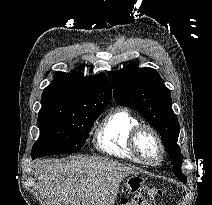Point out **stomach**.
Returning <instances> with one entry per match:
<instances>
[{"label":"stomach","instance_id":"stomach-1","mask_svg":"<svg viewBox=\"0 0 212 205\" xmlns=\"http://www.w3.org/2000/svg\"><path fill=\"white\" fill-rule=\"evenodd\" d=\"M145 179L139 175H132L127 177L123 181V186L125 188V192L129 194H134L138 192L144 185Z\"/></svg>","mask_w":212,"mask_h":205}]
</instances>
